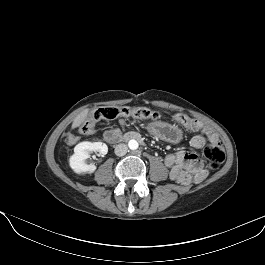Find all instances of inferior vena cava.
I'll use <instances>...</instances> for the list:
<instances>
[{"instance_id":"602c4592","label":"inferior vena cava","mask_w":265,"mask_h":265,"mask_svg":"<svg viewBox=\"0 0 265 265\" xmlns=\"http://www.w3.org/2000/svg\"><path fill=\"white\" fill-rule=\"evenodd\" d=\"M127 151H128V147L126 144H123V143L116 145L115 150H114L117 156H124L127 153Z\"/></svg>"}]
</instances>
